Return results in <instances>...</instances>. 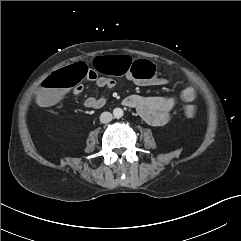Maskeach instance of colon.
<instances>
[{"mask_svg": "<svg viewBox=\"0 0 241 241\" xmlns=\"http://www.w3.org/2000/svg\"><path fill=\"white\" fill-rule=\"evenodd\" d=\"M93 68L99 74L129 75L136 79H150L156 72V67L151 61L143 58L133 61L128 56L109 58L106 55H99L93 61ZM88 75L89 68L83 62L66 65L57 69L54 74H44L40 80L43 88L37 95L38 103L42 106L55 104L64 91L75 87ZM184 113L187 117L192 118L196 116L197 108L194 105H187Z\"/></svg>", "mask_w": 241, "mask_h": 241, "instance_id": "colon-1", "label": "colon"}]
</instances>
